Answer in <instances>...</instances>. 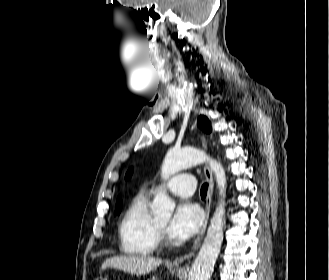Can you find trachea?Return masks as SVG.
Here are the masks:
<instances>
[{"mask_svg":"<svg viewBox=\"0 0 329 280\" xmlns=\"http://www.w3.org/2000/svg\"><path fill=\"white\" fill-rule=\"evenodd\" d=\"M207 190H208V184L207 183H204L201 187V190H200V194H201V197L204 199L207 195Z\"/></svg>","mask_w":329,"mask_h":280,"instance_id":"3493384b","label":"trachea"}]
</instances>
